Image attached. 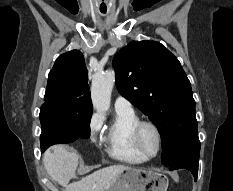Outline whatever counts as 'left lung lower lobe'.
I'll return each instance as SVG.
<instances>
[{
    "instance_id": "1",
    "label": "left lung lower lobe",
    "mask_w": 233,
    "mask_h": 191,
    "mask_svg": "<svg viewBox=\"0 0 233 191\" xmlns=\"http://www.w3.org/2000/svg\"><path fill=\"white\" fill-rule=\"evenodd\" d=\"M200 154V153H199ZM199 154H189L182 156L178 160L174 161L169 167L170 170L175 169H187L192 172L194 180L196 181L198 176V164H199Z\"/></svg>"
}]
</instances>
